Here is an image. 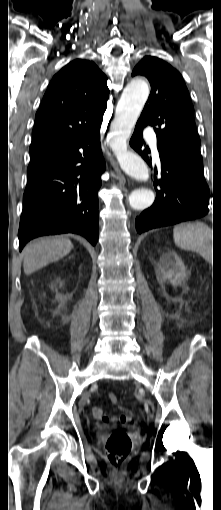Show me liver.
Wrapping results in <instances>:
<instances>
[{"instance_id":"1","label":"liver","mask_w":221,"mask_h":510,"mask_svg":"<svg viewBox=\"0 0 221 510\" xmlns=\"http://www.w3.org/2000/svg\"><path fill=\"white\" fill-rule=\"evenodd\" d=\"M73 248L69 239L63 237H48L30 242L24 249L23 268L29 275L63 258Z\"/></svg>"}]
</instances>
